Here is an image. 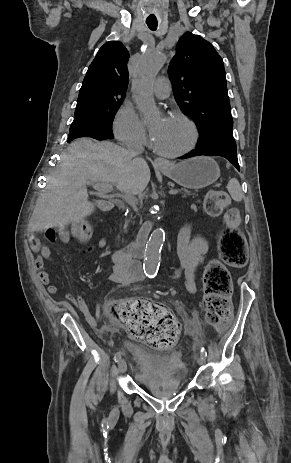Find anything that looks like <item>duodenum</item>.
<instances>
[{
	"instance_id": "duodenum-1",
	"label": "duodenum",
	"mask_w": 291,
	"mask_h": 463,
	"mask_svg": "<svg viewBox=\"0 0 291 463\" xmlns=\"http://www.w3.org/2000/svg\"><path fill=\"white\" fill-rule=\"evenodd\" d=\"M102 205L106 212H111L113 210V205L111 203H103ZM151 228L152 224L149 222L143 225L136 237L125 248H123L129 255H131L136 260L142 258L143 256L145 243Z\"/></svg>"
}]
</instances>
